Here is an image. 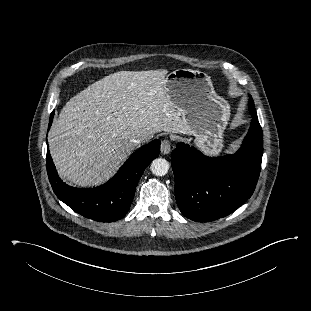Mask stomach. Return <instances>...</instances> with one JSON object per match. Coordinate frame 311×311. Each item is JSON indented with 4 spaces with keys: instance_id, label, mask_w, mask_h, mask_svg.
Here are the masks:
<instances>
[{
    "instance_id": "stomach-1",
    "label": "stomach",
    "mask_w": 311,
    "mask_h": 311,
    "mask_svg": "<svg viewBox=\"0 0 311 311\" xmlns=\"http://www.w3.org/2000/svg\"><path fill=\"white\" fill-rule=\"evenodd\" d=\"M171 101L182 113V119L196 136L198 146L209 155L223 148V133L230 117V106L217 96L211 78L204 72L177 69L166 78Z\"/></svg>"
}]
</instances>
